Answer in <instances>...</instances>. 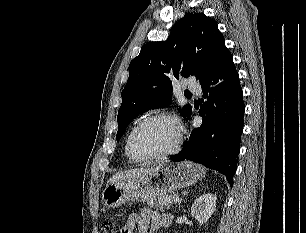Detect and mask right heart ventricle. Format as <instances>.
<instances>
[{
  "label": "right heart ventricle",
  "mask_w": 306,
  "mask_h": 233,
  "mask_svg": "<svg viewBox=\"0 0 306 233\" xmlns=\"http://www.w3.org/2000/svg\"><path fill=\"white\" fill-rule=\"evenodd\" d=\"M125 152H126V149H125ZM126 155H127V152H126ZM127 157L130 159V157L127 155Z\"/></svg>",
  "instance_id": "1"
}]
</instances>
